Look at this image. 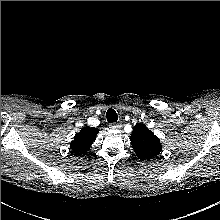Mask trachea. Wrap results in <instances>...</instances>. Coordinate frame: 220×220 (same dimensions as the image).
<instances>
[{
  "instance_id": "3493384b",
  "label": "trachea",
  "mask_w": 220,
  "mask_h": 220,
  "mask_svg": "<svg viewBox=\"0 0 220 220\" xmlns=\"http://www.w3.org/2000/svg\"><path fill=\"white\" fill-rule=\"evenodd\" d=\"M106 118L109 123H114L117 122L118 115L114 109L110 108L107 110Z\"/></svg>"
}]
</instances>
